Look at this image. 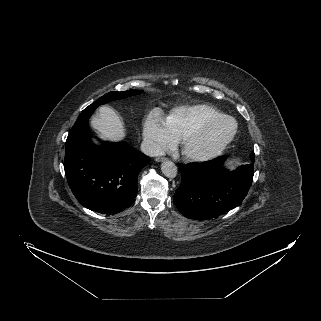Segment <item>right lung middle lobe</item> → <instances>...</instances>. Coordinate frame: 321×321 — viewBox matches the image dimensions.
Wrapping results in <instances>:
<instances>
[{
  "label": "right lung middle lobe",
  "instance_id": "right-lung-middle-lobe-1",
  "mask_svg": "<svg viewBox=\"0 0 321 321\" xmlns=\"http://www.w3.org/2000/svg\"><path fill=\"white\" fill-rule=\"evenodd\" d=\"M140 93H142V91H138V90H127V91H123V92L112 91V92H109V93L105 94L104 96L100 97L99 99H97L94 103L89 105L84 110L94 111L99 105H102V104H105V103H108L110 101H114L117 99H122V98H126L129 96L137 95Z\"/></svg>",
  "mask_w": 321,
  "mask_h": 321
}]
</instances>
